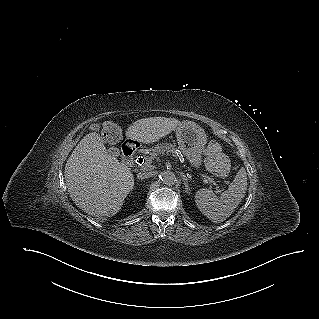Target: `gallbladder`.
<instances>
[{
    "label": "gallbladder",
    "mask_w": 319,
    "mask_h": 319,
    "mask_svg": "<svg viewBox=\"0 0 319 319\" xmlns=\"http://www.w3.org/2000/svg\"><path fill=\"white\" fill-rule=\"evenodd\" d=\"M110 152H111L112 154H114V153H116V150L111 149Z\"/></svg>",
    "instance_id": "bac80fb5"
}]
</instances>
